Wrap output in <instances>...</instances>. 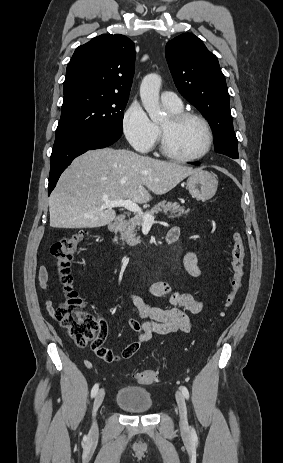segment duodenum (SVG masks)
Masks as SVG:
<instances>
[{
    "instance_id": "obj_1",
    "label": "duodenum",
    "mask_w": 283,
    "mask_h": 463,
    "mask_svg": "<svg viewBox=\"0 0 283 463\" xmlns=\"http://www.w3.org/2000/svg\"><path fill=\"white\" fill-rule=\"evenodd\" d=\"M124 221H125V215L121 214L114 221H112L108 225V230L114 236V238H113V244L114 245H117V243H118L117 235H118V233L120 231V226L124 223ZM176 239H177L176 236L174 234H172V233H168L167 236H166V241L169 244L175 242Z\"/></svg>"
}]
</instances>
